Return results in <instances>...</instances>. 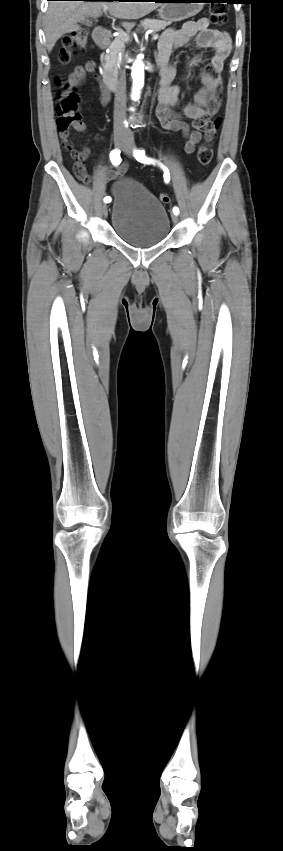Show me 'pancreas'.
Here are the masks:
<instances>
[{
	"instance_id": "pancreas-1",
	"label": "pancreas",
	"mask_w": 283,
	"mask_h": 851,
	"mask_svg": "<svg viewBox=\"0 0 283 851\" xmlns=\"http://www.w3.org/2000/svg\"><path fill=\"white\" fill-rule=\"evenodd\" d=\"M141 25L144 29H151L152 31L157 32L164 30L168 25H170V23L161 20H145L141 23ZM126 42L127 40L123 38V36H119L110 44L109 53L103 54L101 57V64L104 71H116L118 65L122 64V57Z\"/></svg>"
}]
</instances>
